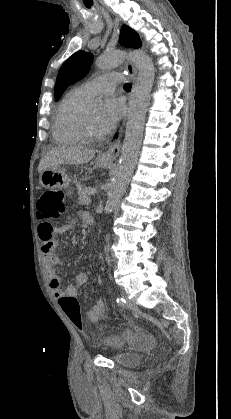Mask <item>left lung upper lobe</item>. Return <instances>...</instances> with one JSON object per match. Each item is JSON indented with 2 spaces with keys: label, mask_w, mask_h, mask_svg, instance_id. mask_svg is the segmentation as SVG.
Returning <instances> with one entry per match:
<instances>
[{
  "label": "left lung upper lobe",
  "mask_w": 231,
  "mask_h": 419,
  "mask_svg": "<svg viewBox=\"0 0 231 419\" xmlns=\"http://www.w3.org/2000/svg\"><path fill=\"white\" fill-rule=\"evenodd\" d=\"M120 42L126 47H141L138 34L126 25L121 27ZM92 61V54L81 50L74 53L64 62L59 70L55 84L54 95L56 101L69 85L82 79L88 73Z\"/></svg>",
  "instance_id": "obj_1"
}]
</instances>
